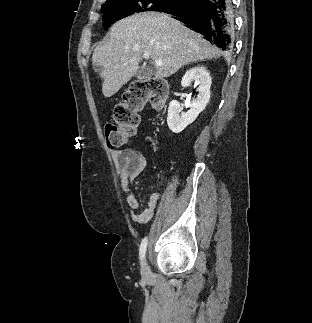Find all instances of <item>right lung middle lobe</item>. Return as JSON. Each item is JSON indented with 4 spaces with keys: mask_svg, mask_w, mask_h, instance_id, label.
Returning a JSON list of instances; mask_svg holds the SVG:
<instances>
[{
    "mask_svg": "<svg viewBox=\"0 0 312 323\" xmlns=\"http://www.w3.org/2000/svg\"><path fill=\"white\" fill-rule=\"evenodd\" d=\"M140 1L141 5L137 2ZM183 0H114L102 6L105 28L111 23L127 17L135 12L160 11L174 7Z\"/></svg>",
    "mask_w": 312,
    "mask_h": 323,
    "instance_id": "dd1d6c3e",
    "label": "right lung middle lobe"
}]
</instances>
